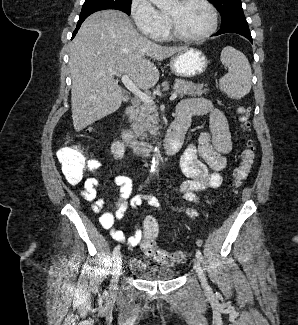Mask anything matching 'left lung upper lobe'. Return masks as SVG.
Returning <instances> with one entry per match:
<instances>
[{
	"mask_svg": "<svg viewBox=\"0 0 298 325\" xmlns=\"http://www.w3.org/2000/svg\"><path fill=\"white\" fill-rule=\"evenodd\" d=\"M221 14V25H225L232 20L243 18L244 13L241 0H211Z\"/></svg>",
	"mask_w": 298,
	"mask_h": 325,
	"instance_id": "obj_1",
	"label": "left lung upper lobe"
}]
</instances>
